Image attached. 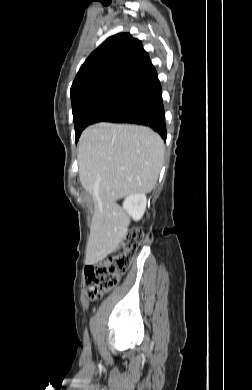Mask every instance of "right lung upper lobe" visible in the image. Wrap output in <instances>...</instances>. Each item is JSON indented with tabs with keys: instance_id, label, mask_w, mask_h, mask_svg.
Masks as SVG:
<instances>
[{
	"instance_id": "obj_1",
	"label": "right lung upper lobe",
	"mask_w": 252,
	"mask_h": 390,
	"mask_svg": "<svg viewBox=\"0 0 252 390\" xmlns=\"http://www.w3.org/2000/svg\"><path fill=\"white\" fill-rule=\"evenodd\" d=\"M160 86L140 40L129 33L109 37L82 64L71 86L72 111L108 97L137 100Z\"/></svg>"
}]
</instances>
